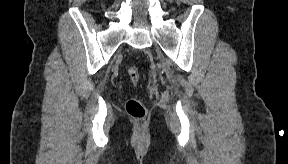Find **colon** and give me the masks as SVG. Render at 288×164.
Returning <instances> with one entry per match:
<instances>
[{
	"label": "colon",
	"mask_w": 288,
	"mask_h": 164,
	"mask_svg": "<svg viewBox=\"0 0 288 164\" xmlns=\"http://www.w3.org/2000/svg\"><path fill=\"white\" fill-rule=\"evenodd\" d=\"M128 75L133 82L137 84L140 81V73L136 67H130L128 69ZM126 112L132 120H143L147 116L146 108L139 98H131L126 103Z\"/></svg>",
	"instance_id": "5ec220e1"
}]
</instances>
